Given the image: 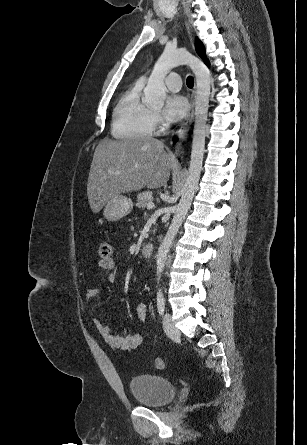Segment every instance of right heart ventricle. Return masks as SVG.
Instances as JSON below:
<instances>
[{
    "label": "right heart ventricle",
    "mask_w": 307,
    "mask_h": 445,
    "mask_svg": "<svg viewBox=\"0 0 307 445\" xmlns=\"http://www.w3.org/2000/svg\"><path fill=\"white\" fill-rule=\"evenodd\" d=\"M142 87L135 83L121 95L113 111L112 135L115 138L148 140L151 111L144 101Z\"/></svg>",
    "instance_id": "1"
}]
</instances>
